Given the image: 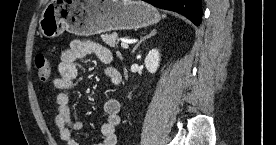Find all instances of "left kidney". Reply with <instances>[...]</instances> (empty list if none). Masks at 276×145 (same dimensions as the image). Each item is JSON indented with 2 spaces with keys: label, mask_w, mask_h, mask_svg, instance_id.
<instances>
[{
  "label": "left kidney",
  "mask_w": 276,
  "mask_h": 145,
  "mask_svg": "<svg viewBox=\"0 0 276 145\" xmlns=\"http://www.w3.org/2000/svg\"><path fill=\"white\" fill-rule=\"evenodd\" d=\"M160 63V53L157 49H152L149 51L148 55L145 58V66L148 72L155 73L159 67Z\"/></svg>",
  "instance_id": "5707ae66"
}]
</instances>
